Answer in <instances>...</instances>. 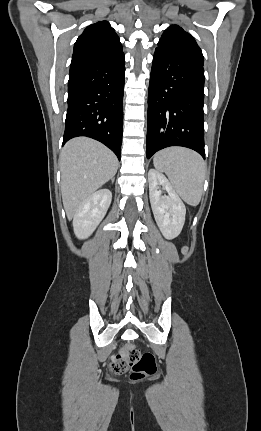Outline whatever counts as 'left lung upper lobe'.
<instances>
[{"label":"left lung upper lobe","instance_id":"obj_1","mask_svg":"<svg viewBox=\"0 0 261 431\" xmlns=\"http://www.w3.org/2000/svg\"><path fill=\"white\" fill-rule=\"evenodd\" d=\"M157 48L189 58L201 65L204 63L203 54L195 39L178 25H171L164 31Z\"/></svg>","mask_w":261,"mask_h":431}]
</instances>
